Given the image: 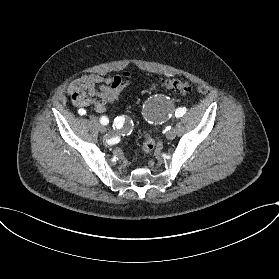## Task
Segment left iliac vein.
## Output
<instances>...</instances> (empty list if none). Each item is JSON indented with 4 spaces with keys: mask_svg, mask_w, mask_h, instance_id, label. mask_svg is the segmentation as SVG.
<instances>
[{
    "mask_svg": "<svg viewBox=\"0 0 279 279\" xmlns=\"http://www.w3.org/2000/svg\"><path fill=\"white\" fill-rule=\"evenodd\" d=\"M166 137L168 138V139H173L174 137H175V131H174V129H170V130H168L167 131V133H166Z\"/></svg>",
    "mask_w": 279,
    "mask_h": 279,
    "instance_id": "obj_1",
    "label": "left iliac vein"
}]
</instances>
